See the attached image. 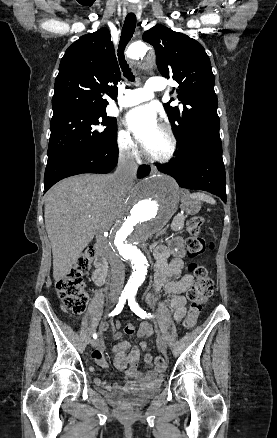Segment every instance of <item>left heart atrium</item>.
<instances>
[{"mask_svg": "<svg viewBox=\"0 0 277 438\" xmlns=\"http://www.w3.org/2000/svg\"><path fill=\"white\" fill-rule=\"evenodd\" d=\"M126 123L135 133L142 146L158 128L154 111L148 106L138 107L130 111L126 117Z\"/></svg>", "mask_w": 277, "mask_h": 438, "instance_id": "left-heart-atrium-1", "label": "left heart atrium"}]
</instances>
